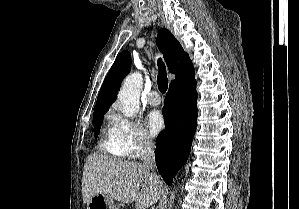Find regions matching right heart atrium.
<instances>
[{"label": "right heart atrium", "instance_id": "d8ad5b80", "mask_svg": "<svg viewBox=\"0 0 299 209\" xmlns=\"http://www.w3.org/2000/svg\"><path fill=\"white\" fill-rule=\"evenodd\" d=\"M113 138L122 154L128 158H138L154 146L152 139L142 126L114 112L110 115Z\"/></svg>", "mask_w": 299, "mask_h": 209}]
</instances>
